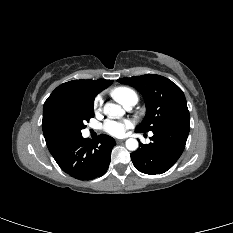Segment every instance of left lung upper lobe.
Segmentation results:
<instances>
[{
    "instance_id": "1",
    "label": "left lung upper lobe",
    "mask_w": 233,
    "mask_h": 233,
    "mask_svg": "<svg viewBox=\"0 0 233 233\" xmlns=\"http://www.w3.org/2000/svg\"><path fill=\"white\" fill-rule=\"evenodd\" d=\"M118 82L136 88L144 98L146 116L136 131H155L166 125L190 121L184 93L171 80L146 74L118 79Z\"/></svg>"
}]
</instances>
